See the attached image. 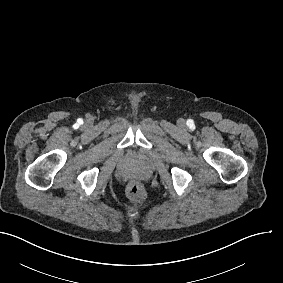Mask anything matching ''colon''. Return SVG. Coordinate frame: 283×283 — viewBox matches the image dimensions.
Returning a JSON list of instances; mask_svg holds the SVG:
<instances>
[{
  "label": "colon",
  "mask_w": 283,
  "mask_h": 283,
  "mask_svg": "<svg viewBox=\"0 0 283 283\" xmlns=\"http://www.w3.org/2000/svg\"><path fill=\"white\" fill-rule=\"evenodd\" d=\"M129 190L134 200H142L145 196L144 189L138 183L131 184Z\"/></svg>",
  "instance_id": "colon-1"
}]
</instances>
